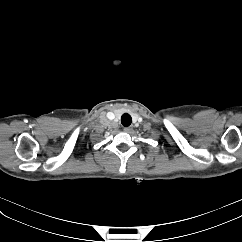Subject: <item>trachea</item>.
<instances>
[{"label":"trachea","mask_w":242,"mask_h":242,"mask_svg":"<svg viewBox=\"0 0 242 242\" xmlns=\"http://www.w3.org/2000/svg\"><path fill=\"white\" fill-rule=\"evenodd\" d=\"M132 122V118L129 114L125 113L121 117V123L124 127H128Z\"/></svg>","instance_id":"trachea-1"}]
</instances>
